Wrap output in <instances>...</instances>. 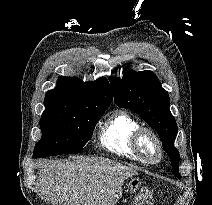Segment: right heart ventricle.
I'll list each match as a JSON object with an SVG mask.
<instances>
[{
	"label": "right heart ventricle",
	"mask_w": 212,
	"mask_h": 205,
	"mask_svg": "<svg viewBox=\"0 0 212 205\" xmlns=\"http://www.w3.org/2000/svg\"><path fill=\"white\" fill-rule=\"evenodd\" d=\"M138 129V122L130 114L125 111H116L99 129V144L119 156L140 159L132 146L133 135Z\"/></svg>",
	"instance_id": "e07e8e85"
}]
</instances>
